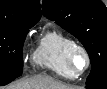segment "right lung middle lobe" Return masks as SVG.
<instances>
[{"label": "right lung middle lobe", "instance_id": "right-lung-middle-lobe-1", "mask_svg": "<svg viewBox=\"0 0 107 89\" xmlns=\"http://www.w3.org/2000/svg\"><path fill=\"white\" fill-rule=\"evenodd\" d=\"M31 27L0 22V85L22 75V47Z\"/></svg>", "mask_w": 107, "mask_h": 89}]
</instances>
